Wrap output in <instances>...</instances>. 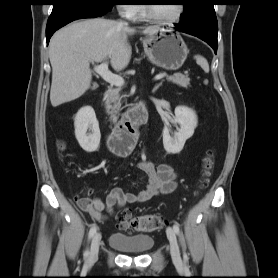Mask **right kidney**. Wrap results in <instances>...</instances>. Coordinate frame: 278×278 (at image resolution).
Wrapping results in <instances>:
<instances>
[{
  "label": "right kidney",
  "instance_id": "1",
  "mask_svg": "<svg viewBox=\"0 0 278 278\" xmlns=\"http://www.w3.org/2000/svg\"><path fill=\"white\" fill-rule=\"evenodd\" d=\"M74 126L75 136L81 148L89 153L96 151L100 144L101 134L94 109L91 106L82 107L77 112ZM88 129L92 132L87 133Z\"/></svg>",
  "mask_w": 278,
  "mask_h": 278
}]
</instances>
